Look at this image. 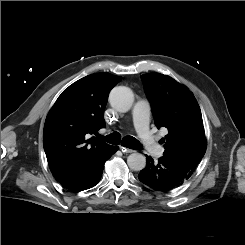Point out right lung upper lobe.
Masks as SVG:
<instances>
[{
	"instance_id": "cb5924a9",
	"label": "right lung upper lobe",
	"mask_w": 245,
	"mask_h": 245,
	"mask_svg": "<svg viewBox=\"0 0 245 245\" xmlns=\"http://www.w3.org/2000/svg\"><path fill=\"white\" fill-rule=\"evenodd\" d=\"M120 80L109 73L88 75L70 85L54 103L45 121L43 146L57 181L112 147L98 138H88L105 127L108 94Z\"/></svg>"
}]
</instances>
